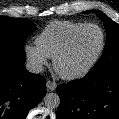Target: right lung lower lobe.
Instances as JSON below:
<instances>
[{
    "label": "right lung lower lobe",
    "mask_w": 119,
    "mask_h": 119,
    "mask_svg": "<svg viewBox=\"0 0 119 119\" xmlns=\"http://www.w3.org/2000/svg\"><path fill=\"white\" fill-rule=\"evenodd\" d=\"M24 63L25 58L0 57V119H25L45 96V78Z\"/></svg>",
    "instance_id": "1"
}]
</instances>
